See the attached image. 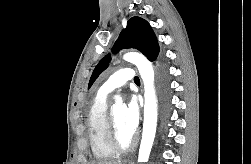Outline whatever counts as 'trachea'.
Here are the masks:
<instances>
[{
    "label": "trachea",
    "instance_id": "3493384b",
    "mask_svg": "<svg viewBox=\"0 0 251 164\" xmlns=\"http://www.w3.org/2000/svg\"><path fill=\"white\" fill-rule=\"evenodd\" d=\"M134 81H135V82H140V79L136 76V77L134 78Z\"/></svg>",
    "mask_w": 251,
    "mask_h": 164
}]
</instances>
